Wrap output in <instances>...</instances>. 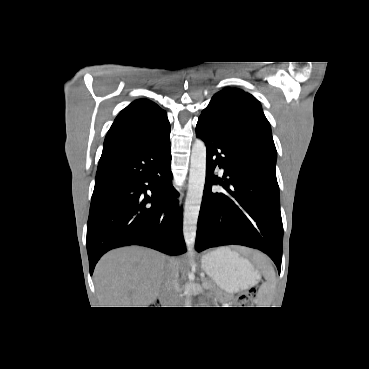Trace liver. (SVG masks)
<instances>
[{"label":"liver","instance_id":"1","mask_svg":"<svg viewBox=\"0 0 369 369\" xmlns=\"http://www.w3.org/2000/svg\"><path fill=\"white\" fill-rule=\"evenodd\" d=\"M254 257L263 258L258 253ZM176 258L137 246L112 250L94 270V282L103 307H149L161 293L168 264Z\"/></svg>","mask_w":369,"mask_h":369}]
</instances>
